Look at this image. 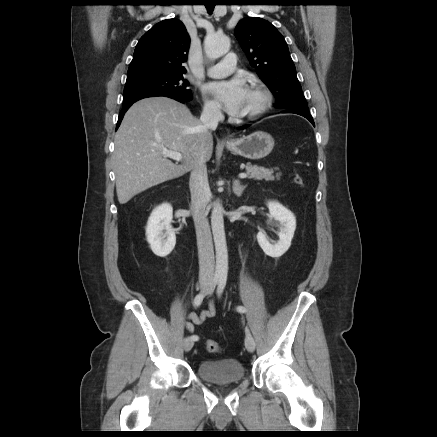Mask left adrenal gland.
<instances>
[{"label": "left adrenal gland", "instance_id": "a2214340", "mask_svg": "<svg viewBox=\"0 0 437 437\" xmlns=\"http://www.w3.org/2000/svg\"><path fill=\"white\" fill-rule=\"evenodd\" d=\"M246 187H247V185H241L239 180L233 181V186H232L233 192L238 197H240L242 195V193Z\"/></svg>", "mask_w": 437, "mask_h": 437}]
</instances>
